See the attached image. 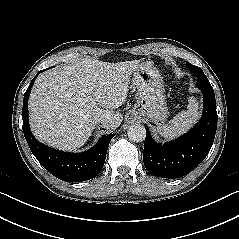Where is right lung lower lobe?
<instances>
[{
  "label": "right lung lower lobe",
  "mask_w": 239,
  "mask_h": 239,
  "mask_svg": "<svg viewBox=\"0 0 239 239\" xmlns=\"http://www.w3.org/2000/svg\"><path fill=\"white\" fill-rule=\"evenodd\" d=\"M33 78L24 94L22 118L23 132L31 152L52 175L66 182H82L96 177L103 168L107 148L114 134L103 136L91 149L82 153H67L49 148L39 142L31 133L28 122V98Z\"/></svg>",
  "instance_id": "1"
}]
</instances>
